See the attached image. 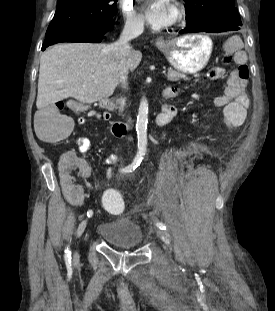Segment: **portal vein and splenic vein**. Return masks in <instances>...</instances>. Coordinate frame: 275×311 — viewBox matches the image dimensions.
<instances>
[{
    "instance_id": "obj_1",
    "label": "portal vein and splenic vein",
    "mask_w": 275,
    "mask_h": 311,
    "mask_svg": "<svg viewBox=\"0 0 275 311\" xmlns=\"http://www.w3.org/2000/svg\"><path fill=\"white\" fill-rule=\"evenodd\" d=\"M162 73H163V74H166V70H163Z\"/></svg>"
}]
</instances>
